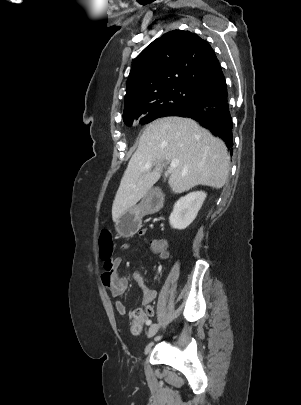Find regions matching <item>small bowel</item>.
<instances>
[{"label": "small bowel", "mask_w": 301, "mask_h": 405, "mask_svg": "<svg viewBox=\"0 0 301 405\" xmlns=\"http://www.w3.org/2000/svg\"><path fill=\"white\" fill-rule=\"evenodd\" d=\"M146 229H141L139 231V236L143 237L146 234ZM149 248L153 254H155L159 260H166L169 257L168 244L164 239L155 238L149 243ZM130 245L125 243L122 245V249H129ZM122 260L120 257L112 258L110 266L105 265V269L101 274L102 284L110 291L113 297L120 298L123 297L128 288L129 280L126 276L118 275L116 270L120 266ZM133 280L139 285L143 295V302L146 305H150L156 298V290L148 287L141 274L134 273ZM116 309L120 315L127 314V308L121 301L116 302ZM149 321L146 320L145 323ZM134 331V330H133ZM135 332V331H134ZM139 332V331H138Z\"/></svg>", "instance_id": "1"}]
</instances>
